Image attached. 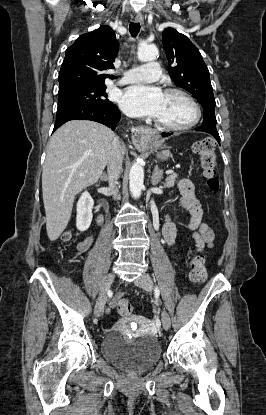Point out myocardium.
I'll return each mask as SVG.
<instances>
[{
  "instance_id": "1",
  "label": "myocardium",
  "mask_w": 266,
  "mask_h": 415,
  "mask_svg": "<svg viewBox=\"0 0 266 415\" xmlns=\"http://www.w3.org/2000/svg\"><path fill=\"white\" fill-rule=\"evenodd\" d=\"M165 94L166 95H178L180 97H182L186 102L189 103V105L192 107L193 112H194V116L192 118V120L186 124L183 125H167L164 124L158 120H156L155 124L157 127H159L160 129L166 130V131H171V132H179V131H185L188 130L192 127H194L201 118V109L198 105V103L195 101V99L186 91L182 90V89H178V88H168L165 90Z\"/></svg>"
}]
</instances>
